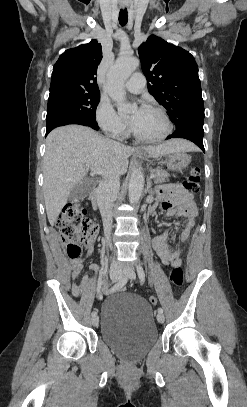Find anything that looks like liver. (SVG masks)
Masks as SVG:
<instances>
[{
  "mask_svg": "<svg viewBox=\"0 0 247 407\" xmlns=\"http://www.w3.org/2000/svg\"><path fill=\"white\" fill-rule=\"evenodd\" d=\"M153 158L174 151H191L195 146L173 139L143 148ZM138 149L101 136L89 127L68 125L54 129L46 139L43 161V194L51 226L67 203L72 188L86 179L89 169H104L109 176L127 172L128 158Z\"/></svg>",
  "mask_w": 247,
  "mask_h": 407,
  "instance_id": "6515ba94",
  "label": "liver"
}]
</instances>
